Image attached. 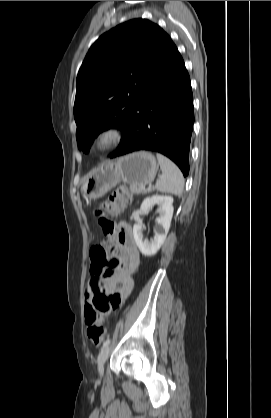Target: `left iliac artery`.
<instances>
[{
    "label": "left iliac artery",
    "instance_id": "obj_1",
    "mask_svg": "<svg viewBox=\"0 0 271 418\" xmlns=\"http://www.w3.org/2000/svg\"><path fill=\"white\" fill-rule=\"evenodd\" d=\"M110 342H111V340H110V339H107V340L103 343L102 348H104V347L108 346V345L110 344Z\"/></svg>",
    "mask_w": 271,
    "mask_h": 418
}]
</instances>
